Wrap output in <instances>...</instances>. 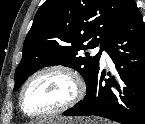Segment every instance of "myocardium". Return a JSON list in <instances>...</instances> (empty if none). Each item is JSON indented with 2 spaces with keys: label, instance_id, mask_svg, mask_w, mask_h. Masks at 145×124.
Returning <instances> with one entry per match:
<instances>
[{
  "label": "myocardium",
  "instance_id": "obj_1",
  "mask_svg": "<svg viewBox=\"0 0 145 124\" xmlns=\"http://www.w3.org/2000/svg\"><path fill=\"white\" fill-rule=\"evenodd\" d=\"M52 72L62 73L71 79V81L74 84L73 95L66 102H64L57 108H54L45 112H39V113H31V112L26 111V109L24 108V94L27 88L38 77L47 73H52ZM85 91H86L85 84L82 78L79 76V74L75 70H73L72 68L68 66L60 65V64L49 65V66H46L37 70L25 81L19 93V107H20L21 112L28 118L39 119V118L51 117V116L61 114L69 110L70 108H72L74 105H76L83 98Z\"/></svg>",
  "mask_w": 145,
  "mask_h": 124
}]
</instances>
